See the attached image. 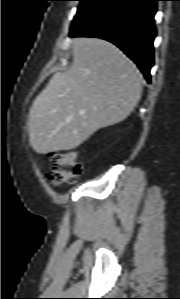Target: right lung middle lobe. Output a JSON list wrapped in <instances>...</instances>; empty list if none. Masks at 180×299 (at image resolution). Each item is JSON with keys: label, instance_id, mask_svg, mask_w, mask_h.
I'll return each mask as SVG.
<instances>
[{"label": "right lung middle lobe", "instance_id": "right-lung-middle-lobe-1", "mask_svg": "<svg viewBox=\"0 0 180 299\" xmlns=\"http://www.w3.org/2000/svg\"><path fill=\"white\" fill-rule=\"evenodd\" d=\"M80 5L78 7L77 13L72 21V26L76 24L79 20L90 14L95 8H97L105 0H78Z\"/></svg>", "mask_w": 180, "mask_h": 299}]
</instances>
